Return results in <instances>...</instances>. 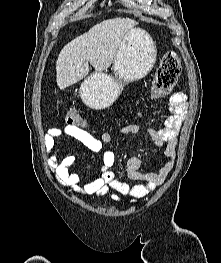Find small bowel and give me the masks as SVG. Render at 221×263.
<instances>
[{
	"label": "small bowel",
	"instance_id": "small-bowel-1",
	"mask_svg": "<svg viewBox=\"0 0 221 263\" xmlns=\"http://www.w3.org/2000/svg\"><path fill=\"white\" fill-rule=\"evenodd\" d=\"M168 111L169 115L159 129L150 127L143 129L140 125L128 124L116 128L114 132H104L100 138H96L89 132L75 126L50 129L45 137V147L47 151H53L50 165L54 170L56 180L74 194L103 196L109 193L110 190H113L114 193L111 195V198L114 202L121 203L122 197L126 196L130 198L129 203L135 205L139 199L145 197L162 184L174 168L178 135L187 112L186 95L182 92L171 95ZM142 130H145L155 146H165L164 153L169 160L158 172H153L141 171L140 159L130 157L127 160L126 177L132 184L121 181L111 171L115 163V156L112 152L108 151L103 154L99 175L86 183H81L83 174L70 171L77 161V157L74 154H68L60 158L62 150L61 147L57 146V140L63 135H68L91 151L98 152L102 150L105 143H109L112 140L114 135L137 134Z\"/></svg>",
	"mask_w": 221,
	"mask_h": 263
}]
</instances>
